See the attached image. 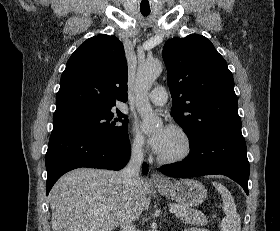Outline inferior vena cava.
I'll return each instance as SVG.
<instances>
[{"label": "inferior vena cava", "mask_w": 280, "mask_h": 231, "mask_svg": "<svg viewBox=\"0 0 280 231\" xmlns=\"http://www.w3.org/2000/svg\"><path fill=\"white\" fill-rule=\"evenodd\" d=\"M143 161L142 143L134 141L131 147V157L127 167L122 169V177L124 183H132L140 179L139 171ZM120 231H138L135 225H133L131 219H123L120 225Z\"/></svg>", "instance_id": "602c4592"}]
</instances>
